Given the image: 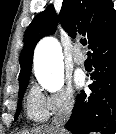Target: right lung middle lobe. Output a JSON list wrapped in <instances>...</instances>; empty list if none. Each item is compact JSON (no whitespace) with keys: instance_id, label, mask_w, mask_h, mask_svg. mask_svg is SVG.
<instances>
[{"instance_id":"obj_1","label":"right lung middle lobe","mask_w":116,"mask_h":134,"mask_svg":"<svg viewBox=\"0 0 116 134\" xmlns=\"http://www.w3.org/2000/svg\"><path fill=\"white\" fill-rule=\"evenodd\" d=\"M27 85H28V82H26L25 84H23L21 86L20 90H19V102H18L16 113H15V117H14L15 119L18 118L19 113H20V111L22 109V97H23V94H24V91H25Z\"/></svg>"}]
</instances>
